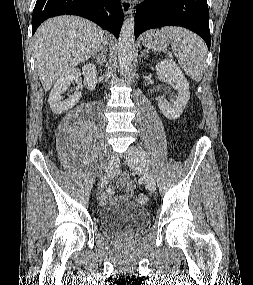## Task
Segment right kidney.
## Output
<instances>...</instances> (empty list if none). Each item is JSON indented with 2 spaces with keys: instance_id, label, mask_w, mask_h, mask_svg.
Instances as JSON below:
<instances>
[{
  "instance_id": "1",
  "label": "right kidney",
  "mask_w": 253,
  "mask_h": 285,
  "mask_svg": "<svg viewBox=\"0 0 253 285\" xmlns=\"http://www.w3.org/2000/svg\"><path fill=\"white\" fill-rule=\"evenodd\" d=\"M84 75V85H92L96 77V67L93 64H86L82 67ZM81 71L78 68H73L64 73L54 84L49 95V105L53 113L61 114L74 107L81 98V92H75L69 99L62 100V94L67 90L68 86L75 80H78Z\"/></svg>"
}]
</instances>
